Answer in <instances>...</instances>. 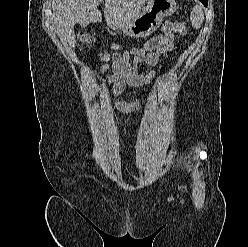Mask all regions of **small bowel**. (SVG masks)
<instances>
[{
	"label": "small bowel",
	"instance_id": "c3829d8e",
	"mask_svg": "<svg viewBox=\"0 0 248 247\" xmlns=\"http://www.w3.org/2000/svg\"><path fill=\"white\" fill-rule=\"evenodd\" d=\"M174 41L170 34L155 36L144 43L142 47L131 48L122 53L116 52L112 56L113 74L108 78L107 85L110 87L112 102L114 107L123 113H129L142 108L141 101L127 102L119 99L120 94L126 86L140 87L152 81L156 72L152 71L146 75L138 74L139 63L156 65L159 60L167 58L168 53L173 49ZM131 57L134 61L131 62ZM109 55L103 57L104 64L101 67V73L109 69ZM130 120H125L128 124Z\"/></svg>",
	"mask_w": 248,
	"mask_h": 247
}]
</instances>
